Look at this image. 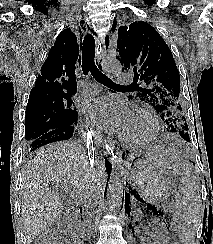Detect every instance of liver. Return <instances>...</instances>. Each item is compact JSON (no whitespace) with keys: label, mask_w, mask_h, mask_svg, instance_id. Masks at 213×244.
<instances>
[{"label":"liver","mask_w":213,"mask_h":244,"mask_svg":"<svg viewBox=\"0 0 213 244\" xmlns=\"http://www.w3.org/2000/svg\"><path fill=\"white\" fill-rule=\"evenodd\" d=\"M104 163L99 154L90 158L85 147L58 142L38 149L23 172L21 215L28 242L49 228L63 214L61 191L76 205L103 190ZM68 204H72L69 200Z\"/></svg>","instance_id":"liver-1"}]
</instances>
